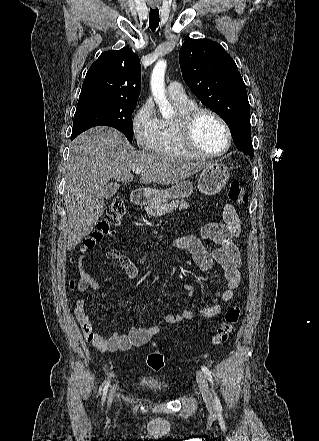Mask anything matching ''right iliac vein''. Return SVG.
I'll return each instance as SVG.
<instances>
[{
    "instance_id": "63e3f726",
    "label": "right iliac vein",
    "mask_w": 319,
    "mask_h": 441,
    "mask_svg": "<svg viewBox=\"0 0 319 441\" xmlns=\"http://www.w3.org/2000/svg\"><path fill=\"white\" fill-rule=\"evenodd\" d=\"M114 394H115V390L113 389V391L111 392L110 398H109V405L112 404L113 398H114Z\"/></svg>"
}]
</instances>
